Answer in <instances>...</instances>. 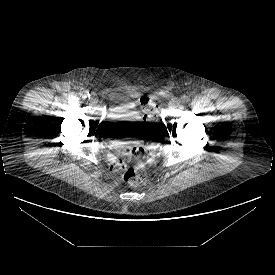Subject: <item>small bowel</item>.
<instances>
[{
	"label": "small bowel",
	"mask_w": 275,
	"mask_h": 275,
	"mask_svg": "<svg viewBox=\"0 0 275 275\" xmlns=\"http://www.w3.org/2000/svg\"><path fill=\"white\" fill-rule=\"evenodd\" d=\"M130 105L134 106L135 103H131ZM114 148H118V146L114 145ZM109 159H110V162L112 164V168L114 171L118 172V171H122L125 169V167H126L125 164H123L121 167L118 166L119 157H117L116 155L111 154Z\"/></svg>",
	"instance_id": "1"
}]
</instances>
